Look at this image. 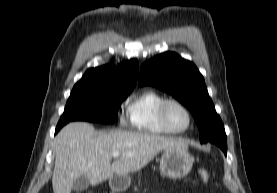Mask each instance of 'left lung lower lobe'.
Instances as JSON below:
<instances>
[{
    "label": "left lung lower lobe",
    "instance_id": "1",
    "mask_svg": "<svg viewBox=\"0 0 277 193\" xmlns=\"http://www.w3.org/2000/svg\"><path fill=\"white\" fill-rule=\"evenodd\" d=\"M213 143L217 144L222 149V151L224 152L225 155L227 154V138H226V136L215 138V141Z\"/></svg>",
    "mask_w": 277,
    "mask_h": 193
}]
</instances>
